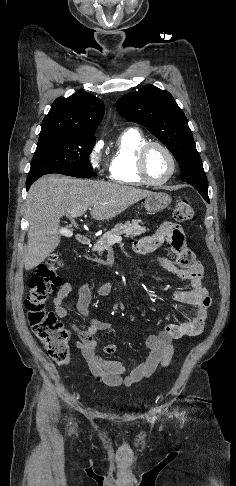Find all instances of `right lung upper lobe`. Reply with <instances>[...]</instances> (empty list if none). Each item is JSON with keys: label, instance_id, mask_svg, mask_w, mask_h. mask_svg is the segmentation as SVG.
<instances>
[{"label": "right lung upper lobe", "instance_id": "right-lung-upper-lobe-1", "mask_svg": "<svg viewBox=\"0 0 236 486\" xmlns=\"http://www.w3.org/2000/svg\"><path fill=\"white\" fill-rule=\"evenodd\" d=\"M104 115V104L95 96L77 91L59 97L42 121L41 132L56 131L93 136Z\"/></svg>", "mask_w": 236, "mask_h": 486}]
</instances>
